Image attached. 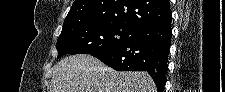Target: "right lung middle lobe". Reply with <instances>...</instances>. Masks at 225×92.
I'll return each instance as SVG.
<instances>
[{
  "label": "right lung middle lobe",
  "instance_id": "dd1d6c3e",
  "mask_svg": "<svg viewBox=\"0 0 225 92\" xmlns=\"http://www.w3.org/2000/svg\"><path fill=\"white\" fill-rule=\"evenodd\" d=\"M136 28L119 22H86L62 30L57 40L58 56L93 54L131 39Z\"/></svg>",
  "mask_w": 225,
  "mask_h": 92
}]
</instances>
